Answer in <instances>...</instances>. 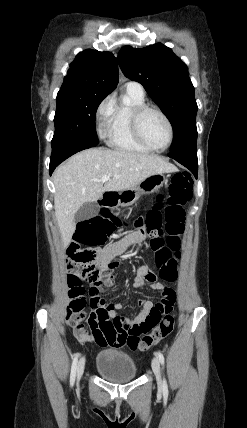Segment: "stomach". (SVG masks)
Here are the masks:
<instances>
[{"label": "stomach", "mask_w": 247, "mask_h": 428, "mask_svg": "<svg viewBox=\"0 0 247 428\" xmlns=\"http://www.w3.org/2000/svg\"><path fill=\"white\" fill-rule=\"evenodd\" d=\"M166 181L167 178L163 173L154 174L146 178L137 186L124 190L119 194L121 205H132L142 194H151L157 192L163 186V184L166 183Z\"/></svg>", "instance_id": "stomach-1"}]
</instances>
